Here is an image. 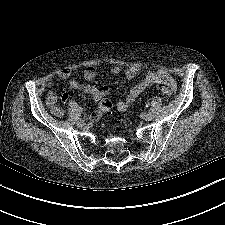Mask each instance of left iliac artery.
Instances as JSON below:
<instances>
[{"label":"left iliac artery","mask_w":225,"mask_h":225,"mask_svg":"<svg viewBox=\"0 0 225 225\" xmlns=\"http://www.w3.org/2000/svg\"><path fill=\"white\" fill-rule=\"evenodd\" d=\"M147 111L150 113L152 111V109L149 108Z\"/></svg>","instance_id":"left-iliac-artery-1"}]
</instances>
